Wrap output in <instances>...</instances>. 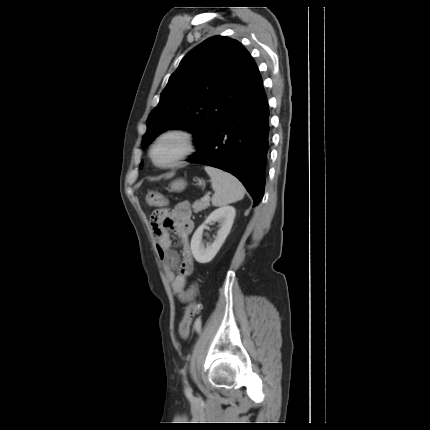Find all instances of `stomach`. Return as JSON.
<instances>
[{
    "mask_svg": "<svg viewBox=\"0 0 430 430\" xmlns=\"http://www.w3.org/2000/svg\"><path fill=\"white\" fill-rule=\"evenodd\" d=\"M201 184V183H199ZM186 187V182L181 179H177L171 183V191L179 192L182 191Z\"/></svg>",
    "mask_w": 430,
    "mask_h": 430,
    "instance_id": "0dacf381",
    "label": "stomach"
}]
</instances>
